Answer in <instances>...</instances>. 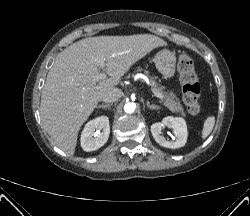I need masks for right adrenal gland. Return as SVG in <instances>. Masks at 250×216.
I'll return each mask as SVG.
<instances>
[{"label": "right adrenal gland", "instance_id": "1", "mask_svg": "<svg viewBox=\"0 0 250 216\" xmlns=\"http://www.w3.org/2000/svg\"><path fill=\"white\" fill-rule=\"evenodd\" d=\"M111 105L110 104H101L98 105L97 108H109Z\"/></svg>", "mask_w": 250, "mask_h": 216}]
</instances>
